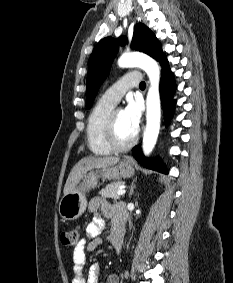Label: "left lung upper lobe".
Segmentation results:
<instances>
[{"instance_id": "obj_1", "label": "left lung upper lobe", "mask_w": 233, "mask_h": 283, "mask_svg": "<svg viewBox=\"0 0 233 283\" xmlns=\"http://www.w3.org/2000/svg\"><path fill=\"white\" fill-rule=\"evenodd\" d=\"M126 42L127 40L124 37L115 39L109 36L102 39L94 48L89 60L87 75L86 107L88 109L91 108L97 91L108 74L119 45H124ZM131 47L150 55L156 60L163 55L160 42L144 24L135 26Z\"/></svg>"}]
</instances>
